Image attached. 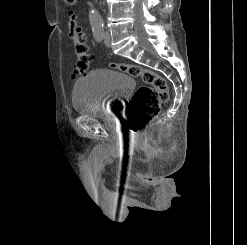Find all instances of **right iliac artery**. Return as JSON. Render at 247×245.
Returning a JSON list of instances; mask_svg holds the SVG:
<instances>
[{
  "label": "right iliac artery",
  "mask_w": 247,
  "mask_h": 245,
  "mask_svg": "<svg viewBox=\"0 0 247 245\" xmlns=\"http://www.w3.org/2000/svg\"><path fill=\"white\" fill-rule=\"evenodd\" d=\"M92 31L95 40L101 42L103 40V25L93 27Z\"/></svg>",
  "instance_id": "obj_1"
}]
</instances>
